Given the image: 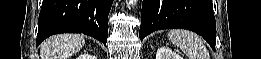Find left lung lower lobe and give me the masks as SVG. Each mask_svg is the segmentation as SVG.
<instances>
[{
    "label": "left lung lower lobe",
    "instance_id": "1",
    "mask_svg": "<svg viewBox=\"0 0 261 59\" xmlns=\"http://www.w3.org/2000/svg\"><path fill=\"white\" fill-rule=\"evenodd\" d=\"M177 28L196 32L215 50L212 0H143L140 40L156 30Z\"/></svg>",
    "mask_w": 261,
    "mask_h": 59
}]
</instances>
